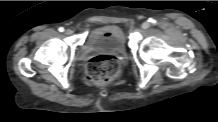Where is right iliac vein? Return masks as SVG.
Segmentation results:
<instances>
[{
	"label": "right iliac vein",
	"mask_w": 218,
	"mask_h": 122,
	"mask_svg": "<svg viewBox=\"0 0 218 122\" xmlns=\"http://www.w3.org/2000/svg\"><path fill=\"white\" fill-rule=\"evenodd\" d=\"M65 34H66V35H71V34H72V30L66 29V30H65Z\"/></svg>",
	"instance_id": "1"
}]
</instances>
